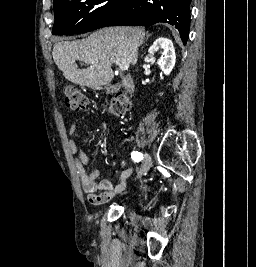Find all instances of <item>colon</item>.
I'll list each match as a JSON object with an SVG mask.
<instances>
[{
  "instance_id": "colon-1",
  "label": "colon",
  "mask_w": 256,
  "mask_h": 267,
  "mask_svg": "<svg viewBox=\"0 0 256 267\" xmlns=\"http://www.w3.org/2000/svg\"><path fill=\"white\" fill-rule=\"evenodd\" d=\"M86 95L77 87L69 86L64 89V105L73 111H84L88 107ZM130 108V101L127 96L121 95L113 99L109 109L118 115H123Z\"/></svg>"
}]
</instances>
